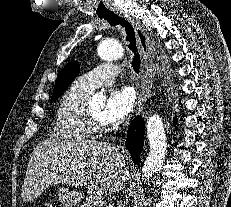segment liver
Wrapping results in <instances>:
<instances>
[{"instance_id": "liver-1", "label": "liver", "mask_w": 231, "mask_h": 207, "mask_svg": "<svg viewBox=\"0 0 231 207\" xmlns=\"http://www.w3.org/2000/svg\"><path fill=\"white\" fill-rule=\"evenodd\" d=\"M121 156L118 148L104 142L44 140L30 156L21 197L24 202L33 201L53 183L118 192L129 176Z\"/></svg>"}]
</instances>
